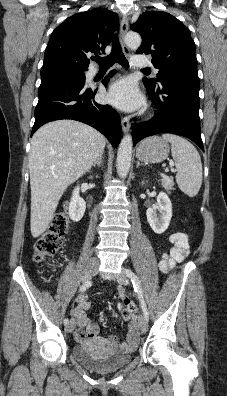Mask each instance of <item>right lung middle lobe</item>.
I'll return each instance as SVG.
<instances>
[{"mask_svg": "<svg viewBox=\"0 0 227 396\" xmlns=\"http://www.w3.org/2000/svg\"><path fill=\"white\" fill-rule=\"evenodd\" d=\"M85 71L72 69H49L41 71V82L49 79L68 78L85 83Z\"/></svg>", "mask_w": 227, "mask_h": 396, "instance_id": "dd1d6c3e", "label": "right lung middle lobe"}]
</instances>
